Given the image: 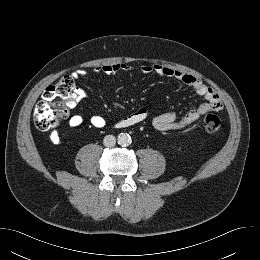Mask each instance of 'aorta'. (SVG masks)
I'll use <instances>...</instances> for the list:
<instances>
[{"label": "aorta", "instance_id": "762f6f07", "mask_svg": "<svg viewBox=\"0 0 260 260\" xmlns=\"http://www.w3.org/2000/svg\"><path fill=\"white\" fill-rule=\"evenodd\" d=\"M117 140H118V144L124 147L129 146L132 142L131 136L127 133H120L118 135Z\"/></svg>", "mask_w": 260, "mask_h": 260}]
</instances>
